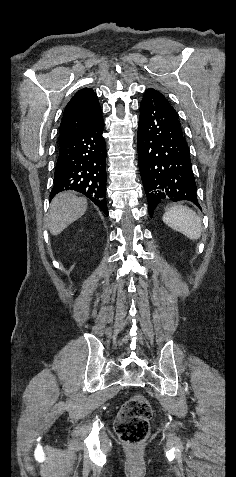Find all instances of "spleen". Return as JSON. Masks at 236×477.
<instances>
[{"mask_svg": "<svg viewBox=\"0 0 236 477\" xmlns=\"http://www.w3.org/2000/svg\"><path fill=\"white\" fill-rule=\"evenodd\" d=\"M170 228L182 233L189 239L201 237L202 223L199 216L186 206H173L162 217Z\"/></svg>", "mask_w": 236, "mask_h": 477, "instance_id": "obj_1", "label": "spleen"}]
</instances>
